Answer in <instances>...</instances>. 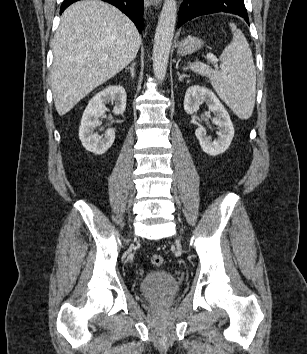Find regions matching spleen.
<instances>
[{"label":"spleen","instance_id":"1","mask_svg":"<svg viewBox=\"0 0 307 354\" xmlns=\"http://www.w3.org/2000/svg\"><path fill=\"white\" fill-rule=\"evenodd\" d=\"M233 39L223 50L221 71L203 63H192V71L207 76L226 105L242 120L253 113L256 97V70L252 51L243 33L230 24Z\"/></svg>","mask_w":307,"mask_h":354}]
</instances>
